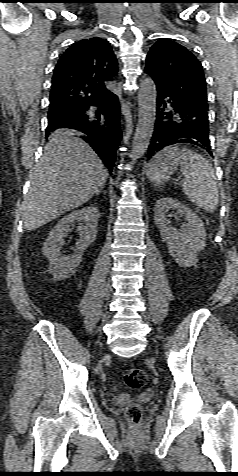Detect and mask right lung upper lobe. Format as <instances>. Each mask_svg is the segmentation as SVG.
Segmentation results:
<instances>
[{"label":"right lung upper lobe","mask_w":238,"mask_h":476,"mask_svg":"<svg viewBox=\"0 0 238 476\" xmlns=\"http://www.w3.org/2000/svg\"><path fill=\"white\" fill-rule=\"evenodd\" d=\"M117 74V59L107 41L94 37L70 46L53 73L49 107L86 108L106 96L104 81Z\"/></svg>","instance_id":"obj_1"}]
</instances>
